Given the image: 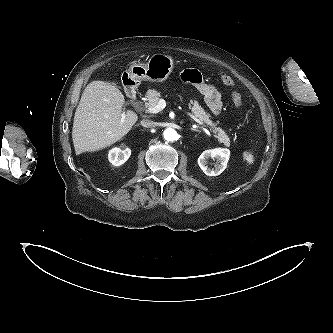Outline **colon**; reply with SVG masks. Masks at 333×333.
<instances>
[{
  "instance_id": "obj_1",
  "label": "colon",
  "mask_w": 333,
  "mask_h": 333,
  "mask_svg": "<svg viewBox=\"0 0 333 333\" xmlns=\"http://www.w3.org/2000/svg\"><path fill=\"white\" fill-rule=\"evenodd\" d=\"M221 81L226 86L234 88L235 82L230 75L223 74L221 76ZM231 97H232V101L236 107H238V108L242 107V105H243L242 98H241V95L237 91L233 90L231 93Z\"/></svg>"
}]
</instances>
